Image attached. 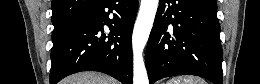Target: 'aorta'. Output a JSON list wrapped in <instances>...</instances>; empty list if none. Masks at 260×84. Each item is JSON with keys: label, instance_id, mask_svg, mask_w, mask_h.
<instances>
[{"label": "aorta", "instance_id": "aorta-1", "mask_svg": "<svg viewBox=\"0 0 260 84\" xmlns=\"http://www.w3.org/2000/svg\"><path fill=\"white\" fill-rule=\"evenodd\" d=\"M158 3L159 0H141L132 35L133 84H149L143 59V50L153 26Z\"/></svg>", "mask_w": 260, "mask_h": 84}]
</instances>
